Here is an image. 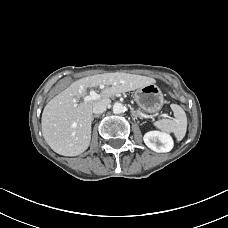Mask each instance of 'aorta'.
<instances>
[{"instance_id": "obj_1", "label": "aorta", "mask_w": 228, "mask_h": 228, "mask_svg": "<svg viewBox=\"0 0 228 228\" xmlns=\"http://www.w3.org/2000/svg\"><path fill=\"white\" fill-rule=\"evenodd\" d=\"M123 105L119 102H116L114 105H113V113L115 114H120L123 112Z\"/></svg>"}]
</instances>
